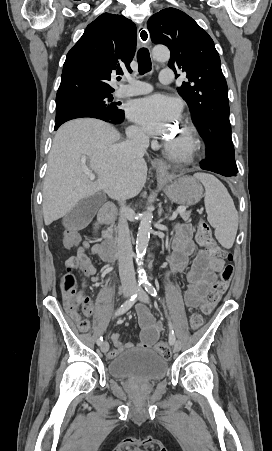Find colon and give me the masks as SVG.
Instances as JSON below:
<instances>
[{
	"label": "colon",
	"mask_w": 272,
	"mask_h": 451,
	"mask_svg": "<svg viewBox=\"0 0 272 451\" xmlns=\"http://www.w3.org/2000/svg\"><path fill=\"white\" fill-rule=\"evenodd\" d=\"M62 248L63 249H77L78 244L81 242L80 235H77L76 230H63L62 232ZM197 240L208 247L207 258H226L228 261L233 260V255L229 253V249H219L217 242L213 239L207 223L202 222L197 230ZM76 267L80 268V271H94V262H88L87 258H73L69 257L66 260V268L64 274H59V283H61L62 295L65 297L66 303H76L75 307L81 310L85 314H90L91 305L88 301L87 294H77L78 280H76V274L74 270ZM234 273V267L231 263L225 265L223 270L219 274V280L210 288L205 296L202 310L205 313L213 311L215 306L220 302L221 298L225 294L228 286L231 283ZM80 293V292H79ZM202 317L199 314H194L191 318V326L193 329H197L202 325ZM78 328L81 331H86L89 328V322L81 320L78 324ZM155 350L158 354H173L174 346L169 345L168 342H156ZM165 359L168 356L165 355Z\"/></svg>",
	"instance_id": "1"
}]
</instances>
